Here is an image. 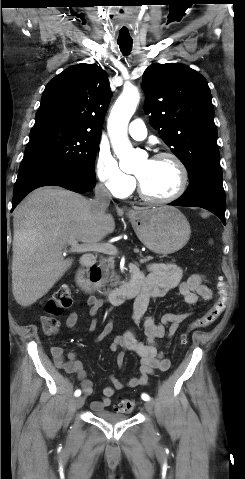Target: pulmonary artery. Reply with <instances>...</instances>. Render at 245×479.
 Here are the masks:
<instances>
[{
    "label": "pulmonary artery",
    "mask_w": 245,
    "mask_h": 479,
    "mask_svg": "<svg viewBox=\"0 0 245 479\" xmlns=\"http://www.w3.org/2000/svg\"><path fill=\"white\" fill-rule=\"evenodd\" d=\"M128 132L136 140H143L147 136V129L145 124L140 119L131 121L128 127Z\"/></svg>",
    "instance_id": "pulmonary-artery-1"
}]
</instances>
